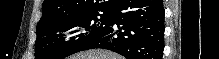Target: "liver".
Returning <instances> with one entry per match:
<instances>
[{"label":"liver","instance_id":"liver-1","mask_svg":"<svg viewBox=\"0 0 219 59\" xmlns=\"http://www.w3.org/2000/svg\"><path fill=\"white\" fill-rule=\"evenodd\" d=\"M69 59H123V57L106 50H89L73 55Z\"/></svg>","mask_w":219,"mask_h":59}]
</instances>
